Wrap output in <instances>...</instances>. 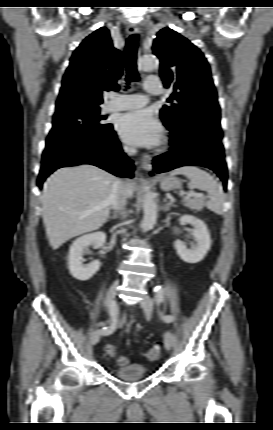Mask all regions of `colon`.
Returning a JSON list of instances; mask_svg holds the SVG:
<instances>
[{"instance_id":"5ec220e1","label":"colon","mask_w":273,"mask_h":430,"mask_svg":"<svg viewBox=\"0 0 273 430\" xmlns=\"http://www.w3.org/2000/svg\"><path fill=\"white\" fill-rule=\"evenodd\" d=\"M105 351L108 355H110L112 357L116 356L115 347L111 344H109L105 347ZM159 355H160V347L154 346L147 351V353L145 354V357L148 360H156L159 357ZM116 363L119 366H124L128 363V359L124 356H117L116 357Z\"/></svg>"}]
</instances>
